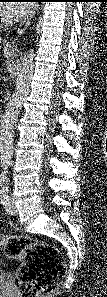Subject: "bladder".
<instances>
[{"label":"bladder","mask_w":107,"mask_h":297,"mask_svg":"<svg viewBox=\"0 0 107 297\" xmlns=\"http://www.w3.org/2000/svg\"><path fill=\"white\" fill-rule=\"evenodd\" d=\"M0 278H1V279L4 278V273L2 272V270H0Z\"/></svg>","instance_id":"bladder-1"}]
</instances>
